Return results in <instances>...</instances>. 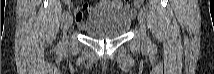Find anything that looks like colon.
I'll return each instance as SVG.
<instances>
[{
  "label": "colon",
  "mask_w": 214,
  "mask_h": 74,
  "mask_svg": "<svg viewBox=\"0 0 214 74\" xmlns=\"http://www.w3.org/2000/svg\"><path fill=\"white\" fill-rule=\"evenodd\" d=\"M135 2H136V4H141L143 2V0H137Z\"/></svg>",
  "instance_id": "colon-1"
}]
</instances>
